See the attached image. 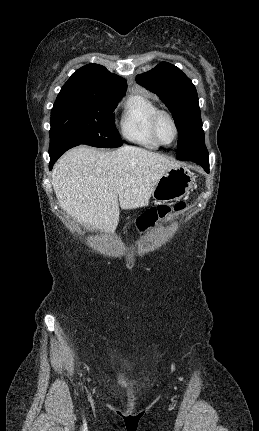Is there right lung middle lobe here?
Listing matches in <instances>:
<instances>
[{"label":"right lung middle lobe","mask_w":259,"mask_h":431,"mask_svg":"<svg viewBox=\"0 0 259 431\" xmlns=\"http://www.w3.org/2000/svg\"><path fill=\"white\" fill-rule=\"evenodd\" d=\"M125 92L98 96L59 93L51 110L49 150L86 144L116 148L123 142L114 124V109Z\"/></svg>","instance_id":"1"}]
</instances>
